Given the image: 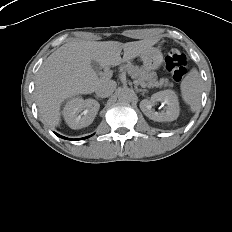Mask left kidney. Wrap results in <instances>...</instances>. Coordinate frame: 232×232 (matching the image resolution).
I'll return each mask as SVG.
<instances>
[{
  "mask_svg": "<svg viewBox=\"0 0 232 232\" xmlns=\"http://www.w3.org/2000/svg\"><path fill=\"white\" fill-rule=\"evenodd\" d=\"M156 102L166 104L165 110L156 112L152 107ZM142 112L151 120L157 122H171L178 118L180 107L178 97L173 90H164L154 93L151 99H144L140 102Z\"/></svg>",
  "mask_w": 232,
  "mask_h": 232,
  "instance_id": "1",
  "label": "left kidney"
}]
</instances>
